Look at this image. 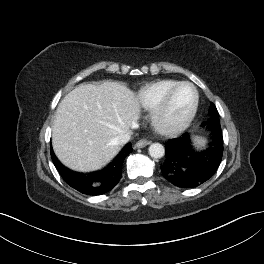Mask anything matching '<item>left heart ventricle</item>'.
<instances>
[{
  "label": "left heart ventricle",
  "instance_id": "b2bd125f",
  "mask_svg": "<svg viewBox=\"0 0 264 264\" xmlns=\"http://www.w3.org/2000/svg\"><path fill=\"white\" fill-rule=\"evenodd\" d=\"M193 91L189 86H182L172 97L170 106L166 114L168 123L180 122L188 113L193 102Z\"/></svg>",
  "mask_w": 264,
  "mask_h": 264
}]
</instances>
